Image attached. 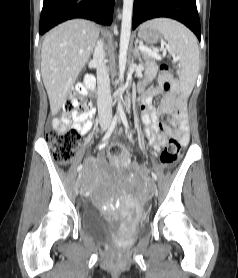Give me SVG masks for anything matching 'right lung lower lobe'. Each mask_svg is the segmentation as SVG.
Wrapping results in <instances>:
<instances>
[{
	"mask_svg": "<svg viewBox=\"0 0 238 278\" xmlns=\"http://www.w3.org/2000/svg\"><path fill=\"white\" fill-rule=\"evenodd\" d=\"M114 0H44L39 32L44 34L57 24L73 18H85L110 25Z\"/></svg>",
	"mask_w": 238,
	"mask_h": 278,
	"instance_id": "1",
	"label": "right lung lower lobe"
}]
</instances>
